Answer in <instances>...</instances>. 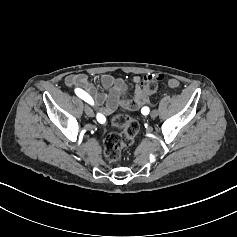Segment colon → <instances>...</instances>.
<instances>
[{
    "mask_svg": "<svg viewBox=\"0 0 237 237\" xmlns=\"http://www.w3.org/2000/svg\"><path fill=\"white\" fill-rule=\"evenodd\" d=\"M163 80L164 77L159 75L147 81L143 86V92L146 95L155 93ZM112 124L121 128L122 132L106 136L103 142L104 156L110 163H117L121 158L122 149L133 144L139 131V123L127 115L120 114L113 117Z\"/></svg>",
    "mask_w": 237,
    "mask_h": 237,
    "instance_id": "colon-1",
    "label": "colon"
}]
</instances>
